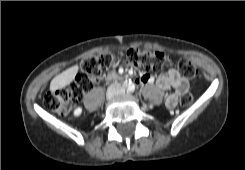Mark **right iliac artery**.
<instances>
[{"label": "right iliac artery", "instance_id": "1", "mask_svg": "<svg viewBox=\"0 0 245 170\" xmlns=\"http://www.w3.org/2000/svg\"><path fill=\"white\" fill-rule=\"evenodd\" d=\"M129 84H130V81L125 80L122 85L124 88H126Z\"/></svg>", "mask_w": 245, "mask_h": 170}]
</instances>
